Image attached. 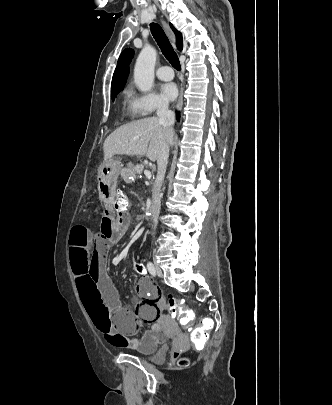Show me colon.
<instances>
[{"mask_svg":"<svg viewBox=\"0 0 332 405\" xmlns=\"http://www.w3.org/2000/svg\"><path fill=\"white\" fill-rule=\"evenodd\" d=\"M116 192V202L111 205V210L113 212H129L130 209L133 207V200L128 199L127 195L124 194L120 190H115ZM134 271L137 273H141L142 277L146 276L145 268L146 263L145 261L136 260L133 263ZM76 287V284H75ZM168 307L170 311L177 316L179 319L180 324H184L185 328H192L194 324V316L191 310L188 307H184L178 299L175 297L169 296L167 299ZM84 306V305H83ZM199 322L201 323L199 327H197L191 335L192 341L196 345L204 344L208 338V327L207 325L212 322V317L210 315H201L199 317ZM178 356V352L175 353ZM180 363H185V360L181 359Z\"/></svg>","mask_w":332,"mask_h":405,"instance_id":"5ec220e1","label":"colon"}]
</instances>
